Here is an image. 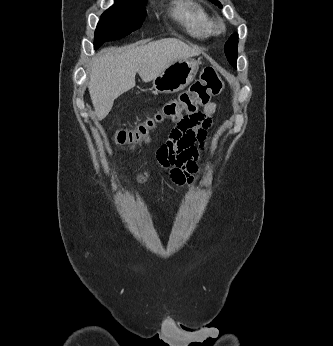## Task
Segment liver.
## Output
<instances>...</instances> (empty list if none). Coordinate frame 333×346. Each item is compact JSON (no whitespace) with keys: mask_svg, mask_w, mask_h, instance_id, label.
Segmentation results:
<instances>
[{"mask_svg":"<svg viewBox=\"0 0 333 346\" xmlns=\"http://www.w3.org/2000/svg\"><path fill=\"white\" fill-rule=\"evenodd\" d=\"M200 53V49L175 38L102 49L93 59L88 85L98 120L109 114L118 96L135 86L136 73L147 83L174 62Z\"/></svg>","mask_w":333,"mask_h":346,"instance_id":"1","label":"liver"}]
</instances>
